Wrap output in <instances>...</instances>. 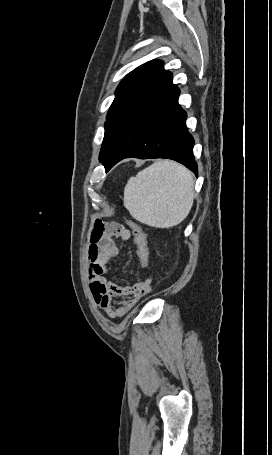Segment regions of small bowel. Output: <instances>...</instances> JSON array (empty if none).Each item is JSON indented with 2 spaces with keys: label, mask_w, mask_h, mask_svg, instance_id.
<instances>
[{
  "label": "small bowel",
  "mask_w": 272,
  "mask_h": 455,
  "mask_svg": "<svg viewBox=\"0 0 272 455\" xmlns=\"http://www.w3.org/2000/svg\"><path fill=\"white\" fill-rule=\"evenodd\" d=\"M114 237L127 242L130 233L119 224L96 221L88 251L91 290L98 306L110 318L125 315L141 297L149 293L152 285V277L129 286H120L107 278L109 264L119 252Z\"/></svg>",
  "instance_id": "obj_1"
}]
</instances>
